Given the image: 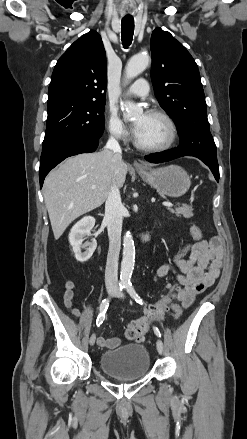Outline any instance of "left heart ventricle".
<instances>
[{
    "label": "left heart ventricle",
    "instance_id": "1",
    "mask_svg": "<svg viewBox=\"0 0 247 439\" xmlns=\"http://www.w3.org/2000/svg\"><path fill=\"white\" fill-rule=\"evenodd\" d=\"M135 124L140 125V130L136 137L144 145H161L169 137L168 126L160 117L141 115L135 120Z\"/></svg>",
    "mask_w": 247,
    "mask_h": 439
}]
</instances>
